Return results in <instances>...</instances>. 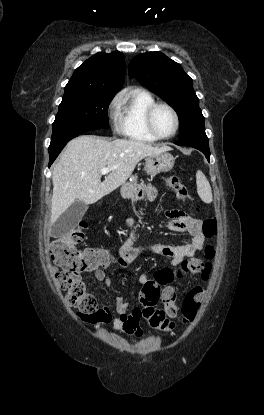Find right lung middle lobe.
Here are the masks:
<instances>
[{"instance_id": "right-lung-middle-lobe-1", "label": "right lung middle lobe", "mask_w": 264, "mask_h": 415, "mask_svg": "<svg viewBox=\"0 0 264 415\" xmlns=\"http://www.w3.org/2000/svg\"><path fill=\"white\" fill-rule=\"evenodd\" d=\"M113 97L111 94L63 96L49 149L86 132L106 128L107 110Z\"/></svg>"}]
</instances>
